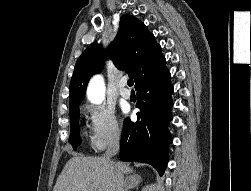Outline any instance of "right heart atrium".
<instances>
[{"instance_id": "obj_1", "label": "right heart atrium", "mask_w": 251, "mask_h": 191, "mask_svg": "<svg viewBox=\"0 0 251 191\" xmlns=\"http://www.w3.org/2000/svg\"><path fill=\"white\" fill-rule=\"evenodd\" d=\"M84 112L88 120L90 145L94 151H103L120 139L121 127L112 109L103 104H87Z\"/></svg>"}]
</instances>
